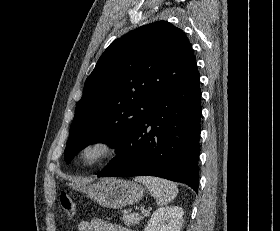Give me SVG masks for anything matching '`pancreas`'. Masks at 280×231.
I'll return each mask as SVG.
<instances>
[{"mask_svg": "<svg viewBox=\"0 0 280 231\" xmlns=\"http://www.w3.org/2000/svg\"><path fill=\"white\" fill-rule=\"evenodd\" d=\"M144 215H138V213H129L127 209H124L121 219H123L125 225H135L140 223V219H143Z\"/></svg>", "mask_w": 280, "mask_h": 231, "instance_id": "1", "label": "pancreas"}]
</instances>
